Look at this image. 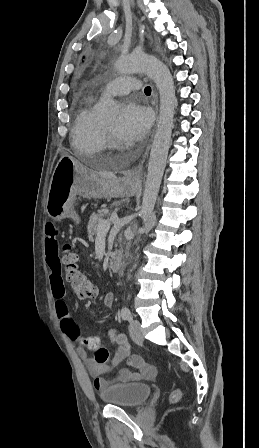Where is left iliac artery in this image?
Wrapping results in <instances>:
<instances>
[{
	"mask_svg": "<svg viewBox=\"0 0 259 448\" xmlns=\"http://www.w3.org/2000/svg\"><path fill=\"white\" fill-rule=\"evenodd\" d=\"M121 317L123 320H128V321L132 320V314H131L129 308L123 307L121 309Z\"/></svg>",
	"mask_w": 259,
	"mask_h": 448,
	"instance_id": "44dca946",
	"label": "left iliac artery"
}]
</instances>
